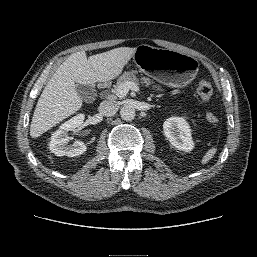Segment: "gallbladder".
<instances>
[{
  "label": "gallbladder",
  "instance_id": "1",
  "mask_svg": "<svg viewBox=\"0 0 257 257\" xmlns=\"http://www.w3.org/2000/svg\"><path fill=\"white\" fill-rule=\"evenodd\" d=\"M76 89L80 98L85 102H90L96 97V90L92 85L77 84Z\"/></svg>",
  "mask_w": 257,
  "mask_h": 257
}]
</instances>
